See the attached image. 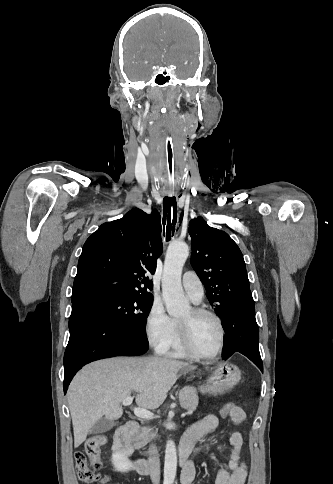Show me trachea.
<instances>
[{
  "label": "trachea",
  "instance_id": "trachea-1",
  "mask_svg": "<svg viewBox=\"0 0 333 484\" xmlns=\"http://www.w3.org/2000/svg\"><path fill=\"white\" fill-rule=\"evenodd\" d=\"M163 142L161 147V152L166 160V172L168 177V188L165 191V197L163 199V230L164 236L166 235V241L171 239V235H174L175 226L177 222V202L174 197L176 191L175 172L173 171L175 167V155L176 152L173 149L174 133L171 130H166L163 132ZM181 216V215H180ZM181 220V219H180ZM166 233V234H165Z\"/></svg>",
  "mask_w": 333,
  "mask_h": 484
}]
</instances>
